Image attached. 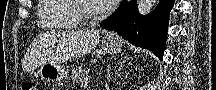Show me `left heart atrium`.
<instances>
[{
  "label": "left heart atrium",
  "mask_w": 216,
  "mask_h": 90,
  "mask_svg": "<svg viewBox=\"0 0 216 90\" xmlns=\"http://www.w3.org/2000/svg\"><path fill=\"white\" fill-rule=\"evenodd\" d=\"M97 3H102L106 10H111L112 7H118L119 3H123V0H97Z\"/></svg>",
  "instance_id": "left-heart-atrium-1"
}]
</instances>
